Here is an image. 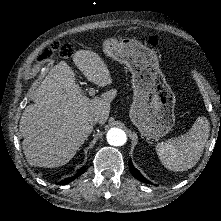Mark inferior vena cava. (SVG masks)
I'll return each mask as SVG.
<instances>
[{
	"mask_svg": "<svg viewBox=\"0 0 221 221\" xmlns=\"http://www.w3.org/2000/svg\"><path fill=\"white\" fill-rule=\"evenodd\" d=\"M100 115L97 113H92L88 116V122L90 125H95L99 122Z\"/></svg>",
	"mask_w": 221,
	"mask_h": 221,
	"instance_id": "inferior-vena-cava-1",
	"label": "inferior vena cava"
}]
</instances>
